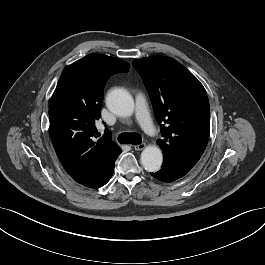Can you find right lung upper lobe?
I'll list each match as a JSON object with an SVG mask.
<instances>
[{
    "instance_id": "1",
    "label": "right lung upper lobe",
    "mask_w": 265,
    "mask_h": 265,
    "mask_svg": "<svg viewBox=\"0 0 265 265\" xmlns=\"http://www.w3.org/2000/svg\"><path fill=\"white\" fill-rule=\"evenodd\" d=\"M129 67L117 58L88 54L63 71L51 98L49 131L57 156L71 176L88 171L119 149L108 131L97 142L92 139L106 81Z\"/></svg>"
}]
</instances>
